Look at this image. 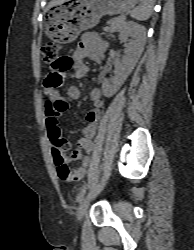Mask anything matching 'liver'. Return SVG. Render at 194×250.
Here are the masks:
<instances>
[{
	"label": "liver",
	"mask_w": 194,
	"mask_h": 250,
	"mask_svg": "<svg viewBox=\"0 0 194 250\" xmlns=\"http://www.w3.org/2000/svg\"><path fill=\"white\" fill-rule=\"evenodd\" d=\"M68 0H52L49 4H48V8L57 5V4H61L64 2H67Z\"/></svg>",
	"instance_id": "obj_1"
}]
</instances>
